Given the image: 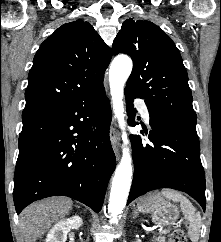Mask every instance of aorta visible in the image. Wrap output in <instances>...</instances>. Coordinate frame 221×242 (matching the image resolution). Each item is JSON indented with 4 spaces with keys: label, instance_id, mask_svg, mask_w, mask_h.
Wrapping results in <instances>:
<instances>
[{
    "label": "aorta",
    "instance_id": "1",
    "mask_svg": "<svg viewBox=\"0 0 221 242\" xmlns=\"http://www.w3.org/2000/svg\"><path fill=\"white\" fill-rule=\"evenodd\" d=\"M132 67V60L128 56L122 55L117 56L113 60L109 70V84L113 111L123 130L126 125L123 103L124 86L131 74ZM122 140L123 156L113 176L108 205V209L111 212V223L118 222V217L121 215L126 205L133 175L132 158L127 146L129 140L125 132L122 133Z\"/></svg>",
    "mask_w": 221,
    "mask_h": 242
}]
</instances>
